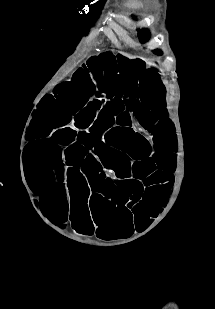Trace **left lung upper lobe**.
Returning <instances> with one entry per match:
<instances>
[{
  "label": "left lung upper lobe",
  "mask_w": 215,
  "mask_h": 309,
  "mask_svg": "<svg viewBox=\"0 0 215 309\" xmlns=\"http://www.w3.org/2000/svg\"><path fill=\"white\" fill-rule=\"evenodd\" d=\"M139 37L142 42L146 41L149 38V34L146 30H139ZM155 52H159L155 50Z\"/></svg>",
  "instance_id": "obj_1"
}]
</instances>
